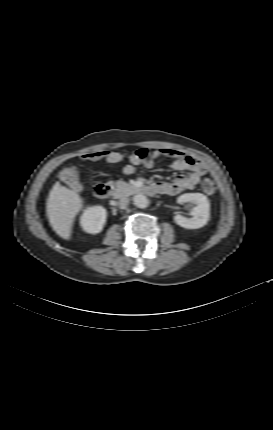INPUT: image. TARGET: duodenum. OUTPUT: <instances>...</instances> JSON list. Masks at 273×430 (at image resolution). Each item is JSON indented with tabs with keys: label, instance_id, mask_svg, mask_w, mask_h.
Returning a JSON list of instances; mask_svg holds the SVG:
<instances>
[{
	"label": "duodenum",
	"instance_id": "obj_1",
	"mask_svg": "<svg viewBox=\"0 0 273 430\" xmlns=\"http://www.w3.org/2000/svg\"><path fill=\"white\" fill-rule=\"evenodd\" d=\"M140 189L148 193H154V188L152 186H143L140 187ZM111 192L112 187L107 183H98L94 187V193L100 199L108 198Z\"/></svg>",
	"mask_w": 273,
	"mask_h": 430
}]
</instances>
